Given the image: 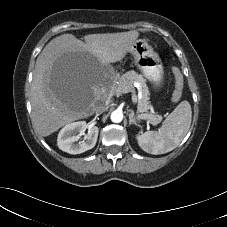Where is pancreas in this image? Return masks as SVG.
I'll use <instances>...</instances> for the list:
<instances>
[{
  "mask_svg": "<svg viewBox=\"0 0 227 227\" xmlns=\"http://www.w3.org/2000/svg\"><path fill=\"white\" fill-rule=\"evenodd\" d=\"M116 81H118V84L116 85L114 89V93L116 95H119L118 92L119 87H130L133 88V84L135 82L140 84V92H141V98L138 100L137 104V111L139 113V117L142 119L147 120L153 125L158 124L162 117L157 114H151L148 112L150 108V102H149V89L146 84V79L141 75L135 72L134 70L126 72L122 76H116Z\"/></svg>",
  "mask_w": 227,
  "mask_h": 227,
  "instance_id": "obj_1",
  "label": "pancreas"
}]
</instances>
